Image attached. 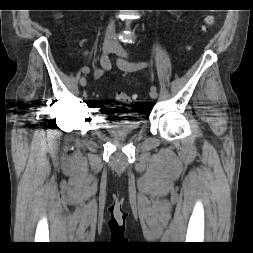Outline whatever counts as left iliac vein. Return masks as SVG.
<instances>
[{
    "label": "left iliac vein",
    "instance_id": "4c4485c4",
    "mask_svg": "<svg viewBox=\"0 0 253 253\" xmlns=\"http://www.w3.org/2000/svg\"><path fill=\"white\" fill-rule=\"evenodd\" d=\"M112 51L114 53H116L119 57L121 58H128V53L126 52V50L121 46L119 45L118 43H115L114 44V47L112 49ZM119 65V64H118ZM120 67V66H119ZM121 68V67H120ZM150 97L152 99H156L158 94H157V91L156 89H150Z\"/></svg>",
    "mask_w": 253,
    "mask_h": 253
}]
</instances>
